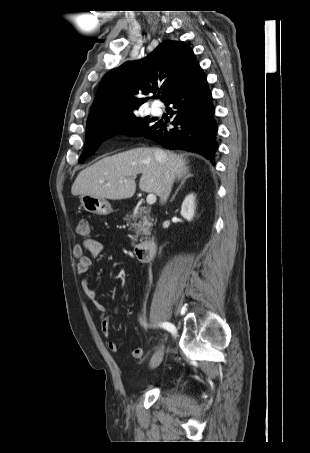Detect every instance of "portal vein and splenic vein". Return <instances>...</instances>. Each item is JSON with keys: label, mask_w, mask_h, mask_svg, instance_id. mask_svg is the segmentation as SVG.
<instances>
[{"label": "portal vein and splenic vein", "mask_w": 310, "mask_h": 453, "mask_svg": "<svg viewBox=\"0 0 310 453\" xmlns=\"http://www.w3.org/2000/svg\"><path fill=\"white\" fill-rule=\"evenodd\" d=\"M147 204L153 205L156 202V195L155 194H148L146 198Z\"/></svg>", "instance_id": "portal-vein-and-splenic-vein-1"}]
</instances>
